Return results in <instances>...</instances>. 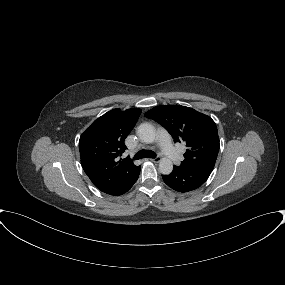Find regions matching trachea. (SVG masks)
Segmentation results:
<instances>
[{
  "label": "trachea",
  "instance_id": "3493384b",
  "mask_svg": "<svg viewBox=\"0 0 285 285\" xmlns=\"http://www.w3.org/2000/svg\"><path fill=\"white\" fill-rule=\"evenodd\" d=\"M156 153L151 150H140L136 153L134 159H142V158H155Z\"/></svg>",
  "mask_w": 285,
  "mask_h": 285
}]
</instances>
